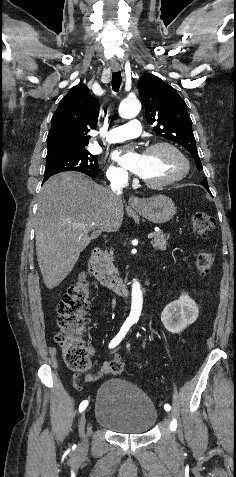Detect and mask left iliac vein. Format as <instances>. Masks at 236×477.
<instances>
[{"label": "left iliac vein", "instance_id": "left-iliac-vein-1", "mask_svg": "<svg viewBox=\"0 0 236 477\" xmlns=\"http://www.w3.org/2000/svg\"><path fill=\"white\" fill-rule=\"evenodd\" d=\"M164 415H165V417L168 418V417H170L172 414H171V411H170L169 409H166V410L164 411Z\"/></svg>", "mask_w": 236, "mask_h": 477}]
</instances>
